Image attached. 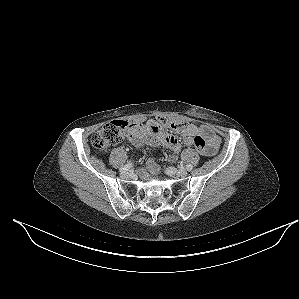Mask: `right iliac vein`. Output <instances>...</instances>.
Returning a JSON list of instances; mask_svg holds the SVG:
<instances>
[{"label": "right iliac vein", "instance_id": "1", "mask_svg": "<svg viewBox=\"0 0 299 299\" xmlns=\"http://www.w3.org/2000/svg\"><path fill=\"white\" fill-rule=\"evenodd\" d=\"M131 176V174L129 172H123L121 173V177L122 178H129Z\"/></svg>", "mask_w": 299, "mask_h": 299}]
</instances>
